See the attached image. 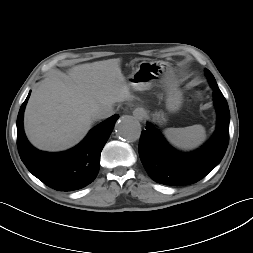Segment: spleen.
Instances as JSON below:
<instances>
[{"label":"spleen","instance_id":"3e777b00","mask_svg":"<svg viewBox=\"0 0 253 253\" xmlns=\"http://www.w3.org/2000/svg\"><path fill=\"white\" fill-rule=\"evenodd\" d=\"M164 134L172 145L184 150L197 148L206 138V131L202 125H193L184 128H167Z\"/></svg>","mask_w":253,"mask_h":253}]
</instances>
